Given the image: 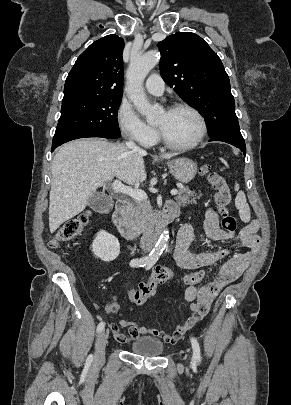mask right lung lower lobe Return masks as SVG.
Masks as SVG:
<instances>
[{
    "instance_id": "98d812e1",
    "label": "right lung lower lobe",
    "mask_w": 291,
    "mask_h": 405,
    "mask_svg": "<svg viewBox=\"0 0 291 405\" xmlns=\"http://www.w3.org/2000/svg\"><path fill=\"white\" fill-rule=\"evenodd\" d=\"M102 138H104V137H102ZM56 147H52V151L55 149Z\"/></svg>"
}]
</instances>
